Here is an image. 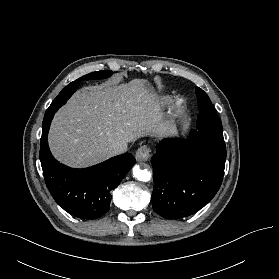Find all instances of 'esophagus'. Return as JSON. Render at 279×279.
<instances>
[{"instance_id":"34e87169","label":"esophagus","mask_w":279,"mask_h":279,"mask_svg":"<svg viewBox=\"0 0 279 279\" xmlns=\"http://www.w3.org/2000/svg\"><path fill=\"white\" fill-rule=\"evenodd\" d=\"M150 157V148L147 145L140 146L135 154V158L137 161H148Z\"/></svg>"}]
</instances>
